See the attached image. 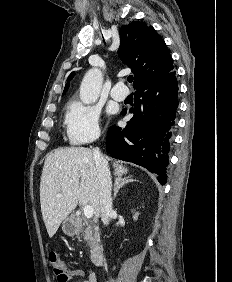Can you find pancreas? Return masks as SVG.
<instances>
[{
	"mask_svg": "<svg viewBox=\"0 0 232 282\" xmlns=\"http://www.w3.org/2000/svg\"><path fill=\"white\" fill-rule=\"evenodd\" d=\"M84 226H86V229L84 231L85 237L84 239L89 243H95L99 240V228L98 226L94 224H89L87 221L83 223Z\"/></svg>",
	"mask_w": 232,
	"mask_h": 282,
	"instance_id": "1",
	"label": "pancreas"
}]
</instances>
